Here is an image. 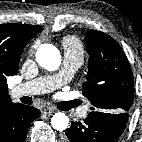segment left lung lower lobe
Returning <instances> with one entry per match:
<instances>
[{
	"label": "left lung lower lobe",
	"instance_id": "0a47b994",
	"mask_svg": "<svg viewBox=\"0 0 142 142\" xmlns=\"http://www.w3.org/2000/svg\"><path fill=\"white\" fill-rule=\"evenodd\" d=\"M128 118V112L91 111L83 122L71 123L64 142H116Z\"/></svg>",
	"mask_w": 142,
	"mask_h": 142
}]
</instances>
